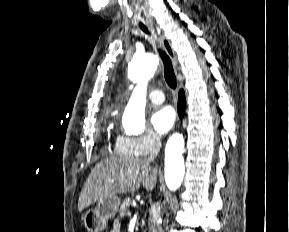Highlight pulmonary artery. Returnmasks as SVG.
<instances>
[{
	"label": "pulmonary artery",
	"mask_w": 289,
	"mask_h": 232,
	"mask_svg": "<svg viewBox=\"0 0 289 232\" xmlns=\"http://www.w3.org/2000/svg\"><path fill=\"white\" fill-rule=\"evenodd\" d=\"M148 98L154 103H162L165 100L164 94L160 90H152L148 94Z\"/></svg>",
	"instance_id": "obj_1"
}]
</instances>
